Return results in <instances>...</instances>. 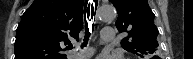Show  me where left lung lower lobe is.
Returning <instances> with one entry per match:
<instances>
[{
	"instance_id": "left-lung-lower-lobe-1",
	"label": "left lung lower lobe",
	"mask_w": 193,
	"mask_h": 59,
	"mask_svg": "<svg viewBox=\"0 0 193 59\" xmlns=\"http://www.w3.org/2000/svg\"><path fill=\"white\" fill-rule=\"evenodd\" d=\"M157 57H153L152 59H156Z\"/></svg>"
}]
</instances>
